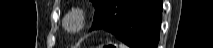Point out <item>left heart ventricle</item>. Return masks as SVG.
<instances>
[{"label":"left heart ventricle","mask_w":213,"mask_h":48,"mask_svg":"<svg viewBox=\"0 0 213 48\" xmlns=\"http://www.w3.org/2000/svg\"><path fill=\"white\" fill-rule=\"evenodd\" d=\"M70 26L73 27V26H74V23H70Z\"/></svg>","instance_id":"obj_1"}]
</instances>
